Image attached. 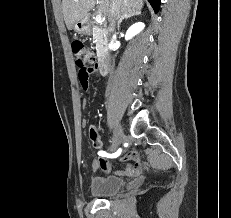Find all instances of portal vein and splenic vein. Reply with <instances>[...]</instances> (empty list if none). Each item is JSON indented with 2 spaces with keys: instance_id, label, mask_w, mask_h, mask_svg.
<instances>
[{
  "instance_id": "portal-vein-and-splenic-vein-1",
  "label": "portal vein and splenic vein",
  "mask_w": 231,
  "mask_h": 218,
  "mask_svg": "<svg viewBox=\"0 0 231 218\" xmlns=\"http://www.w3.org/2000/svg\"><path fill=\"white\" fill-rule=\"evenodd\" d=\"M95 21L97 23H102L105 21V17H103L101 14H97L96 17H95Z\"/></svg>"
}]
</instances>
